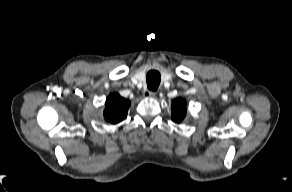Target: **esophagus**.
I'll return each mask as SVG.
<instances>
[{
    "label": "esophagus",
    "mask_w": 292,
    "mask_h": 192,
    "mask_svg": "<svg viewBox=\"0 0 292 192\" xmlns=\"http://www.w3.org/2000/svg\"><path fill=\"white\" fill-rule=\"evenodd\" d=\"M143 96L146 98H154L156 96V93L154 91L146 90L144 91Z\"/></svg>",
    "instance_id": "esophagus-1"
}]
</instances>
